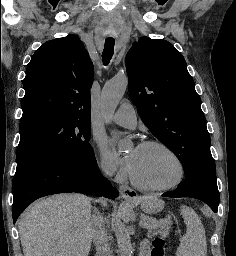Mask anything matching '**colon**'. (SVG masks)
<instances>
[{
  "instance_id": "colon-1",
  "label": "colon",
  "mask_w": 236,
  "mask_h": 256,
  "mask_svg": "<svg viewBox=\"0 0 236 256\" xmlns=\"http://www.w3.org/2000/svg\"><path fill=\"white\" fill-rule=\"evenodd\" d=\"M166 240L162 235H156L152 241L150 256H166L165 252Z\"/></svg>"
}]
</instances>
